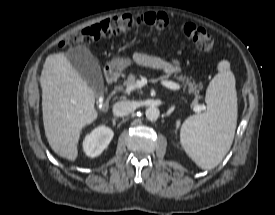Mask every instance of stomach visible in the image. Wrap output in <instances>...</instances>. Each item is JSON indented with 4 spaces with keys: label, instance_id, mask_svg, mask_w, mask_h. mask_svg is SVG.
Returning a JSON list of instances; mask_svg holds the SVG:
<instances>
[{
    "label": "stomach",
    "instance_id": "stomach-1",
    "mask_svg": "<svg viewBox=\"0 0 275 215\" xmlns=\"http://www.w3.org/2000/svg\"><path fill=\"white\" fill-rule=\"evenodd\" d=\"M131 64L129 59L123 57H116L108 63L107 73L111 75L120 74L125 68Z\"/></svg>",
    "mask_w": 275,
    "mask_h": 215
}]
</instances>
